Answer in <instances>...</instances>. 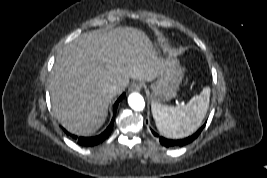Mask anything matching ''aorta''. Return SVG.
I'll return each instance as SVG.
<instances>
[{"mask_svg": "<svg viewBox=\"0 0 267 178\" xmlns=\"http://www.w3.org/2000/svg\"><path fill=\"white\" fill-rule=\"evenodd\" d=\"M128 104L135 111H142L145 107V101L139 93H131L128 96Z\"/></svg>", "mask_w": 267, "mask_h": 178, "instance_id": "1", "label": "aorta"}]
</instances>
